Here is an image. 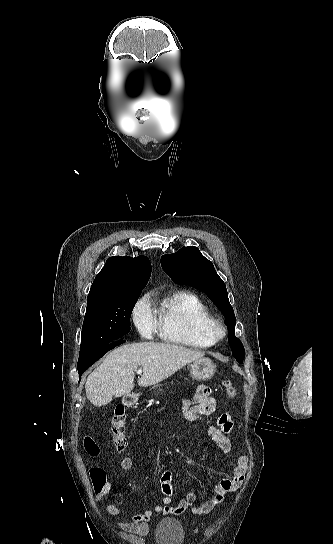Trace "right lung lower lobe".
<instances>
[{
	"instance_id": "1",
	"label": "right lung lower lobe",
	"mask_w": 333,
	"mask_h": 544,
	"mask_svg": "<svg viewBox=\"0 0 333 544\" xmlns=\"http://www.w3.org/2000/svg\"><path fill=\"white\" fill-rule=\"evenodd\" d=\"M124 342H125L124 340L115 342V343L109 348V350H111V349L114 348L115 346L120 345V344H122V343H124ZM109 350H107L106 352H108ZM106 352H104V353L98 355L97 357L91 359V360H90L89 362H87L84 366L79 367V368H78V373H79V375L81 376V375L84 373V371H85L86 369H88L94 362H96L98 359H100Z\"/></svg>"
}]
</instances>
